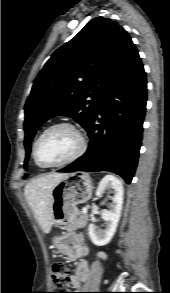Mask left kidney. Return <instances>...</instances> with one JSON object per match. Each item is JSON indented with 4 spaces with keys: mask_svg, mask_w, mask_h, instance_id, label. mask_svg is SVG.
I'll return each mask as SVG.
<instances>
[{
    "mask_svg": "<svg viewBox=\"0 0 170 293\" xmlns=\"http://www.w3.org/2000/svg\"><path fill=\"white\" fill-rule=\"evenodd\" d=\"M107 189L113 190L111 197L112 203L109 210L102 213L106 228L104 230L96 229L94 224L88 227V233L91 241L97 246H103L110 242L116 232L123 205V185L119 179L114 176H105L98 185L96 196L101 197Z\"/></svg>",
    "mask_w": 170,
    "mask_h": 293,
    "instance_id": "left-kidney-1",
    "label": "left kidney"
}]
</instances>
